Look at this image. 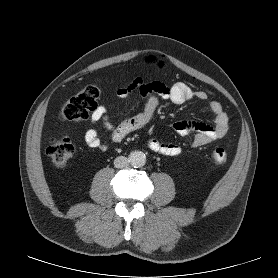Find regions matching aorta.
Returning a JSON list of instances; mask_svg holds the SVG:
<instances>
[{
  "instance_id": "762f6f07",
  "label": "aorta",
  "mask_w": 278,
  "mask_h": 278,
  "mask_svg": "<svg viewBox=\"0 0 278 278\" xmlns=\"http://www.w3.org/2000/svg\"><path fill=\"white\" fill-rule=\"evenodd\" d=\"M129 162L133 167H142L146 163V155L141 151H133L129 155Z\"/></svg>"
}]
</instances>
